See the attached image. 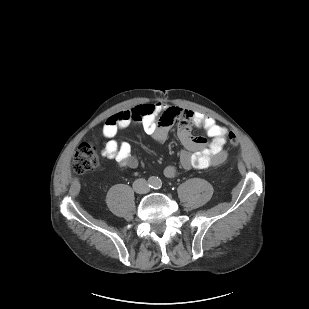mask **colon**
Segmentation results:
<instances>
[{
  "label": "colon",
  "instance_id": "colon-1",
  "mask_svg": "<svg viewBox=\"0 0 309 309\" xmlns=\"http://www.w3.org/2000/svg\"><path fill=\"white\" fill-rule=\"evenodd\" d=\"M229 142L231 145L238 143V138L235 133H229ZM101 164V158L98 149L93 143H83L76 150L73 160V171L78 174L89 173L96 170Z\"/></svg>",
  "mask_w": 309,
  "mask_h": 309
}]
</instances>
